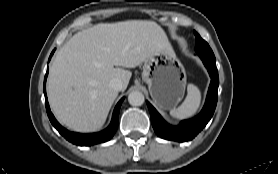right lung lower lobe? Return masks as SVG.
Segmentation results:
<instances>
[{
    "instance_id": "1",
    "label": "right lung lower lobe",
    "mask_w": 278,
    "mask_h": 174,
    "mask_svg": "<svg viewBox=\"0 0 278 174\" xmlns=\"http://www.w3.org/2000/svg\"><path fill=\"white\" fill-rule=\"evenodd\" d=\"M53 52H52V54H53ZM52 54H51V56H52ZM51 56H50V58H51ZM47 75H48V70H47V73L45 75V80H44V94H45L46 111H47L48 117L50 119V122L62 136H64L68 141L72 142L73 144L80 145V146L94 145L97 143L108 141L113 137V135L115 134L117 127H118L119 111H120V107H121V104H122L124 98H122L116 105L114 112H113L112 121L105 130L98 132V133H93V134H79V133L69 132L68 130H66L64 127H62L57 122V120L53 116L52 112L50 111L48 100H47V95H46V89H45Z\"/></svg>"
}]
</instances>
